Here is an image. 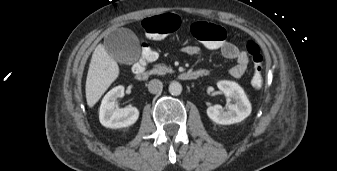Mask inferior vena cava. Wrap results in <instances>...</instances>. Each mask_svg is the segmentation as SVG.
Segmentation results:
<instances>
[{"label": "inferior vena cava", "instance_id": "1", "mask_svg": "<svg viewBox=\"0 0 337 171\" xmlns=\"http://www.w3.org/2000/svg\"><path fill=\"white\" fill-rule=\"evenodd\" d=\"M163 89V84L158 79H153L148 84V90L152 94H158L161 93Z\"/></svg>", "mask_w": 337, "mask_h": 171}]
</instances>
